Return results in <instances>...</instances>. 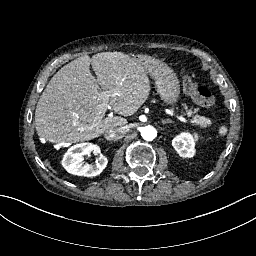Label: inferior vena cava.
Masks as SVG:
<instances>
[{
    "label": "inferior vena cava",
    "instance_id": "obj_1",
    "mask_svg": "<svg viewBox=\"0 0 256 256\" xmlns=\"http://www.w3.org/2000/svg\"><path fill=\"white\" fill-rule=\"evenodd\" d=\"M124 133L122 128H114L106 131L104 136L107 140H118L123 137Z\"/></svg>",
    "mask_w": 256,
    "mask_h": 256
}]
</instances>
